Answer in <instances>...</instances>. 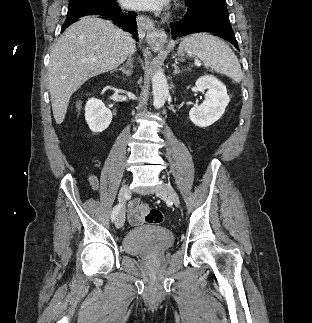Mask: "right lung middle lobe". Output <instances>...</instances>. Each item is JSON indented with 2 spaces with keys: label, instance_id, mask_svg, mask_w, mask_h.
<instances>
[{
  "label": "right lung middle lobe",
  "instance_id": "1",
  "mask_svg": "<svg viewBox=\"0 0 312 323\" xmlns=\"http://www.w3.org/2000/svg\"><path fill=\"white\" fill-rule=\"evenodd\" d=\"M116 5L115 0H69L68 14L92 7Z\"/></svg>",
  "mask_w": 312,
  "mask_h": 323
}]
</instances>
